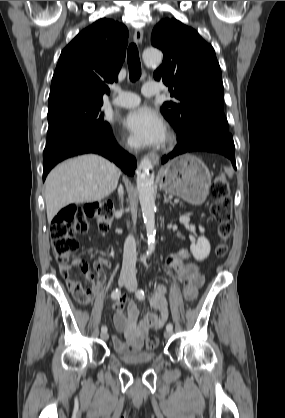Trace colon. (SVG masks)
<instances>
[{"label":"colon","mask_w":285,"mask_h":418,"mask_svg":"<svg viewBox=\"0 0 285 418\" xmlns=\"http://www.w3.org/2000/svg\"><path fill=\"white\" fill-rule=\"evenodd\" d=\"M209 195L212 200L210 214L218 222V242L214 254L218 258H223L227 253L226 239L230 234L229 221L232 215L229 190L223 174L217 175L209 188ZM89 218L96 219L99 223V230L106 232L113 220L111 208L99 202H88L82 205L69 204L63 207L51 221L50 237L53 254L62 266V274L66 273V267L70 265L79 251L76 235L85 233L89 229ZM92 263L97 269L105 265L99 259H94ZM72 291L78 302H89L88 289L75 280ZM157 345L158 338L156 336H150L145 342V348L148 351L154 350Z\"/></svg>","instance_id":"1"}]
</instances>
